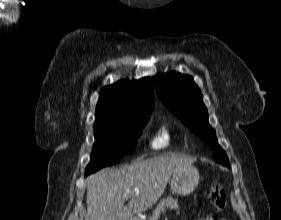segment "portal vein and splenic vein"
Masks as SVG:
<instances>
[{
  "label": "portal vein and splenic vein",
  "mask_w": 281,
  "mask_h": 220,
  "mask_svg": "<svg viewBox=\"0 0 281 220\" xmlns=\"http://www.w3.org/2000/svg\"><path fill=\"white\" fill-rule=\"evenodd\" d=\"M131 194V192L130 191H127V193H126V198L129 196Z\"/></svg>",
  "instance_id": "obj_1"
}]
</instances>
